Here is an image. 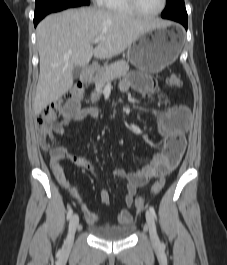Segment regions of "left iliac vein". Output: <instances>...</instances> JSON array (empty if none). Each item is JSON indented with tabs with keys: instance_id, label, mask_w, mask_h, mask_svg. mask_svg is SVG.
<instances>
[{
	"instance_id": "1",
	"label": "left iliac vein",
	"mask_w": 227,
	"mask_h": 265,
	"mask_svg": "<svg viewBox=\"0 0 227 265\" xmlns=\"http://www.w3.org/2000/svg\"><path fill=\"white\" fill-rule=\"evenodd\" d=\"M146 222L148 225L151 241L153 244L157 245L159 243V238L157 235L154 218L150 211H146Z\"/></svg>"
}]
</instances>
